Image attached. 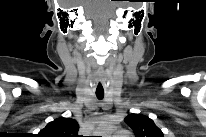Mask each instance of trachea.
<instances>
[{
	"instance_id": "1",
	"label": "trachea",
	"mask_w": 206,
	"mask_h": 137,
	"mask_svg": "<svg viewBox=\"0 0 206 137\" xmlns=\"http://www.w3.org/2000/svg\"><path fill=\"white\" fill-rule=\"evenodd\" d=\"M98 87H100L102 89V91L101 92L96 91V96L99 100H102L104 98V90H103V87L100 83H99Z\"/></svg>"
}]
</instances>
